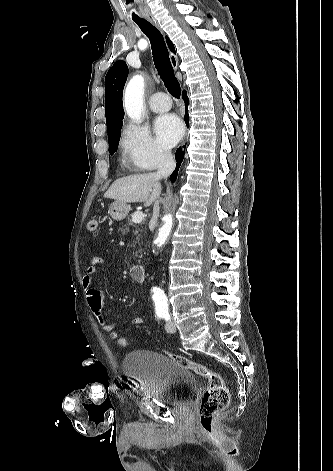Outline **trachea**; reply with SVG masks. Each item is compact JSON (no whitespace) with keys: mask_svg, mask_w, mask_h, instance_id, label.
<instances>
[{"mask_svg":"<svg viewBox=\"0 0 333 471\" xmlns=\"http://www.w3.org/2000/svg\"><path fill=\"white\" fill-rule=\"evenodd\" d=\"M135 22L150 40L154 64L165 87L173 97L180 98V84L174 74L163 35L146 20H135Z\"/></svg>","mask_w":333,"mask_h":471,"instance_id":"trachea-1","label":"trachea"}]
</instances>
